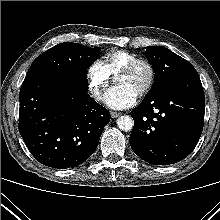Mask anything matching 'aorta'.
<instances>
[{"instance_id": "1", "label": "aorta", "mask_w": 220, "mask_h": 220, "mask_svg": "<svg viewBox=\"0 0 220 220\" xmlns=\"http://www.w3.org/2000/svg\"><path fill=\"white\" fill-rule=\"evenodd\" d=\"M117 126L120 130L130 131L134 126L133 118L128 115H123L117 120Z\"/></svg>"}]
</instances>
